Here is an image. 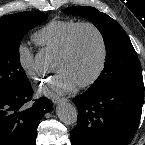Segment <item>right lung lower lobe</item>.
I'll return each instance as SVG.
<instances>
[{"label":"right lung lower lobe","instance_id":"1","mask_svg":"<svg viewBox=\"0 0 145 145\" xmlns=\"http://www.w3.org/2000/svg\"><path fill=\"white\" fill-rule=\"evenodd\" d=\"M30 83L18 91L0 92V145H35L40 119L52 107L46 97L32 100Z\"/></svg>","mask_w":145,"mask_h":145}]
</instances>
